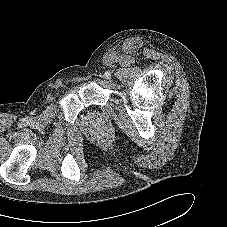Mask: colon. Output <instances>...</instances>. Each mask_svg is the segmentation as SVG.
<instances>
[{
  "mask_svg": "<svg viewBox=\"0 0 227 227\" xmlns=\"http://www.w3.org/2000/svg\"><path fill=\"white\" fill-rule=\"evenodd\" d=\"M99 139H100L101 141H106V140H107V134L101 133V134L99 135Z\"/></svg>",
  "mask_w": 227,
  "mask_h": 227,
  "instance_id": "5ec220e1",
  "label": "colon"
}]
</instances>
